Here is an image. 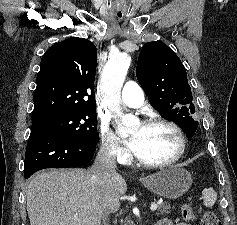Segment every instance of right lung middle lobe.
Returning a JSON list of instances; mask_svg holds the SVG:
<instances>
[{"label": "right lung middle lobe", "mask_w": 237, "mask_h": 225, "mask_svg": "<svg viewBox=\"0 0 237 225\" xmlns=\"http://www.w3.org/2000/svg\"><path fill=\"white\" fill-rule=\"evenodd\" d=\"M96 124V109H87L32 121V130L61 134L85 143L97 144L99 138Z\"/></svg>", "instance_id": "dd1d6c3e"}]
</instances>
